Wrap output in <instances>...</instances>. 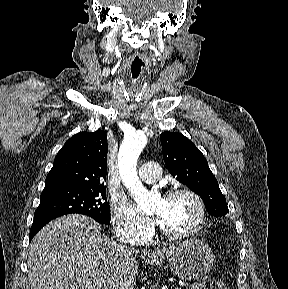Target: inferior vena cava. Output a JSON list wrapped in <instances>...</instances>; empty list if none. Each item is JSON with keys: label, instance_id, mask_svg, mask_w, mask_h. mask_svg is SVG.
<instances>
[{"label": "inferior vena cava", "instance_id": "1", "mask_svg": "<svg viewBox=\"0 0 288 289\" xmlns=\"http://www.w3.org/2000/svg\"><path fill=\"white\" fill-rule=\"evenodd\" d=\"M121 249H122V250H128L129 248H128V247H125V246H121Z\"/></svg>", "mask_w": 288, "mask_h": 289}]
</instances>
